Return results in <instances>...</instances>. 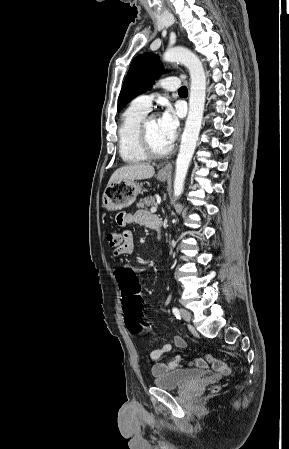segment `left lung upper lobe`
Returning <instances> with one entry per match:
<instances>
[{"label":"left lung upper lobe","mask_w":289,"mask_h":449,"mask_svg":"<svg viewBox=\"0 0 289 449\" xmlns=\"http://www.w3.org/2000/svg\"><path fill=\"white\" fill-rule=\"evenodd\" d=\"M163 65L154 53L137 56L131 63L118 100V111L133 98L149 90L162 74Z\"/></svg>","instance_id":"left-lung-upper-lobe-1"}]
</instances>
